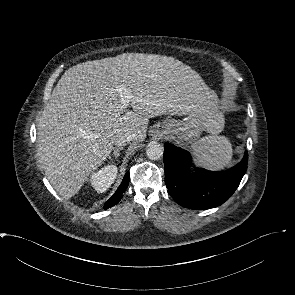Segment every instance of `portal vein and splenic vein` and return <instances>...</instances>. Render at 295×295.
<instances>
[{
	"label": "portal vein and splenic vein",
	"instance_id": "obj_1",
	"mask_svg": "<svg viewBox=\"0 0 295 295\" xmlns=\"http://www.w3.org/2000/svg\"><path fill=\"white\" fill-rule=\"evenodd\" d=\"M119 93H120V96H121V100L123 102L124 105H127V102H128V96L126 95V93L124 92L125 91V88L124 87H120L118 89ZM86 138H97V135L96 134H93V133H89V134H84Z\"/></svg>",
	"mask_w": 295,
	"mask_h": 295
}]
</instances>
